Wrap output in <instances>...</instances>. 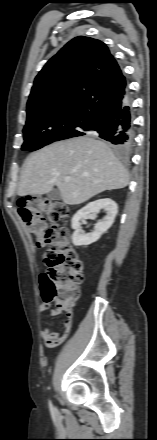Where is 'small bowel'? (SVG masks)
I'll return each mask as SVG.
<instances>
[{
	"label": "small bowel",
	"mask_w": 157,
	"mask_h": 440,
	"mask_svg": "<svg viewBox=\"0 0 157 440\" xmlns=\"http://www.w3.org/2000/svg\"><path fill=\"white\" fill-rule=\"evenodd\" d=\"M39 310L42 313L50 312L53 314V312L50 310V304L46 302L42 303L39 306ZM70 329H71V321L69 319L66 320L64 323V331L62 334H59L58 332H54L48 327L42 331L41 335L47 347H54L60 345L65 340V338L69 334Z\"/></svg>",
	"instance_id": "1"
}]
</instances>
